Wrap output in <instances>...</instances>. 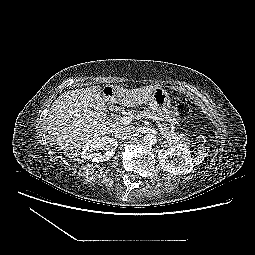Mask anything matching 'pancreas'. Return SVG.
<instances>
[{"label": "pancreas", "instance_id": "obj_1", "mask_svg": "<svg viewBox=\"0 0 255 255\" xmlns=\"http://www.w3.org/2000/svg\"><path fill=\"white\" fill-rule=\"evenodd\" d=\"M134 117L135 118H141V117L158 118L155 115V113L147 109L138 111L137 113L134 114ZM162 137L172 143H184L186 145L192 142V140H190V138H188L184 134H179L174 131H169V129L166 127H164L163 129Z\"/></svg>", "mask_w": 255, "mask_h": 255}]
</instances>
